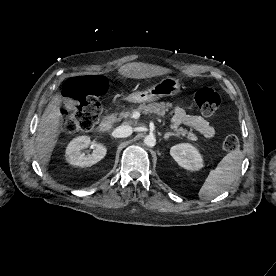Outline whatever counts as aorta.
Returning <instances> with one entry per match:
<instances>
[{"label": "aorta", "instance_id": "aorta-1", "mask_svg": "<svg viewBox=\"0 0 276 276\" xmlns=\"http://www.w3.org/2000/svg\"><path fill=\"white\" fill-rule=\"evenodd\" d=\"M144 143L148 147H154L155 144H156V138H155V136L154 135H147L144 138Z\"/></svg>", "mask_w": 276, "mask_h": 276}]
</instances>
